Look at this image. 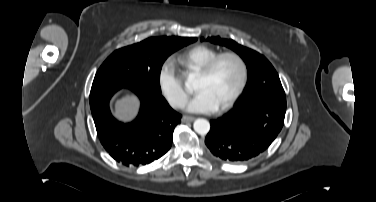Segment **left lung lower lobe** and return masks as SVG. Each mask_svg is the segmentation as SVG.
I'll return each instance as SVG.
<instances>
[{"instance_id": "obj_1", "label": "left lung lower lobe", "mask_w": 376, "mask_h": 202, "mask_svg": "<svg viewBox=\"0 0 376 202\" xmlns=\"http://www.w3.org/2000/svg\"><path fill=\"white\" fill-rule=\"evenodd\" d=\"M286 108L265 100L237 107L217 120L205 144L216 156L227 162H243L265 151L284 124Z\"/></svg>"}]
</instances>
